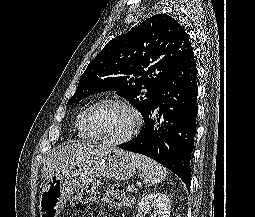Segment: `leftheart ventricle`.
Returning <instances> with one entry per match:
<instances>
[{"label": "left heart ventricle", "mask_w": 255, "mask_h": 217, "mask_svg": "<svg viewBox=\"0 0 255 217\" xmlns=\"http://www.w3.org/2000/svg\"><path fill=\"white\" fill-rule=\"evenodd\" d=\"M90 123L99 136L109 140L123 137L133 125L131 112L117 104L101 105L93 110Z\"/></svg>", "instance_id": "b2bd125f"}]
</instances>
